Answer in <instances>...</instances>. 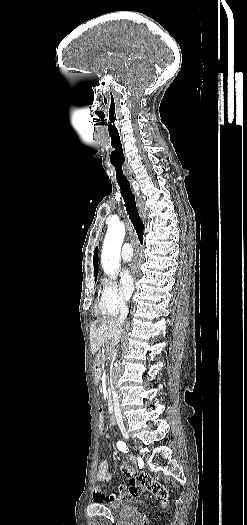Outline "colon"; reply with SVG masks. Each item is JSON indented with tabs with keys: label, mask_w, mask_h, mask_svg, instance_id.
Returning a JSON list of instances; mask_svg holds the SVG:
<instances>
[{
	"label": "colon",
	"mask_w": 247,
	"mask_h": 525,
	"mask_svg": "<svg viewBox=\"0 0 247 525\" xmlns=\"http://www.w3.org/2000/svg\"><path fill=\"white\" fill-rule=\"evenodd\" d=\"M96 424L98 427H100V431H106V424H107V421L105 418L103 417H100L97 419L96 421Z\"/></svg>",
	"instance_id": "obj_1"
}]
</instances>
